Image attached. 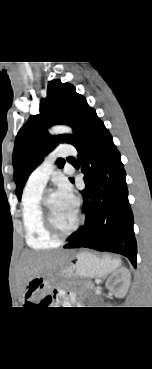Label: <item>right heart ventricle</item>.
I'll return each instance as SVG.
<instances>
[{
	"instance_id": "e07e8e85",
	"label": "right heart ventricle",
	"mask_w": 152,
	"mask_h": 369,
	"mask_svg": "<svg viewBox=\"0 0 152 369\" xmlns=\"http://www.w3.org/2000/svg\"><path fill=\"white\" fill-rule=\"evenodd\" d=\"M42 188L26 186L22 195V221L26 235V242L33 249H49L58 246L59 240L52 237L46 230L41 200Z\"/></svg>"
}]
</instances>
